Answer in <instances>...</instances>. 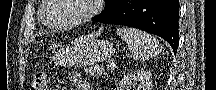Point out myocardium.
<instances>
[{"label":"myocardium","instance_id":"f54148a6","mask_svg":"<svg viewBox=\"0 0 216 90\" xmlns=\"http://www.w3.org/2000/svg\"><path fill=\"white\" fill-rule=\"evenodd\" d=\"M48 2H54V5L53 8H51V11H47L46 17H43V24L48 29L53 31H69L82 26L83 24L93 19L99 13V3H102V0H88V11L82 16V18L79 21L66 26H55L49 23V21H51L52 18H54V15H57V12H61V9L63 8V2H60V0H48Z\"/></svg>","mask_w":216,"mask_h":90}]
</instances>
